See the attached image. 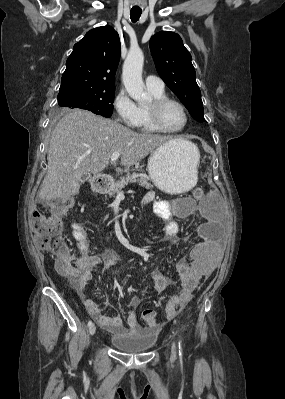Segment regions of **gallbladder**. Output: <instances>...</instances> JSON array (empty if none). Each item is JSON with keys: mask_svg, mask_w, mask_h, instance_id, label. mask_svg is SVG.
Wrapping results in <instances>:
<instances>
[{"mask_svg": "<svg viewBox=\"0 0 285 399\" xmlns=\"http://www.w3.org/2000/svg\"><path fill=\"white\" fill-rule=\"evenodd\" d=\"M90 179V175H85V176H83V178H82V182H84V181H86V180H89Z\"/></svg>", "mask_w": 285, "mask_h": 399, "instance_id": "obj_1", "label": "gallbladder"}]
</instances>
